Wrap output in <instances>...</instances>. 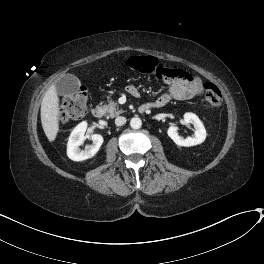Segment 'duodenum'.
Wrapping results in <instances>:
<instances>
[{"label": "duodenum", "instance_id": "410a0bca", "mask_svg": "<svg viewBox=\"0 0 264 264\" xmlns=\"http://www.w3.org/2000/svg\"><path fill=\"white\" fill-rule=\"evenodd\" d=\"M133 95L136 96V97H138L140 95V93H139L138 90L135 89L133 91ZM149 109H150V107L147 106V105H141L139 107V111L140 112H145V111H147ZM104 114H105V107L103 105L97 104V105H95L92 108V115H93L94 118L101 119L104 116Z\"/></svg>", "mask_w": 264, "mask_h": 264}]
</instances>
